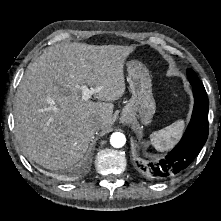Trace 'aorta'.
Listing matches in <instances>:
<instances>
[{
  "mask_svg": "<svg viewBox=\"0 0 221 221\" xmlns=\"http://www.w3.org/2000/svg\"><path fill=\"white\" fill-rule=\"evenodd\" d=\"M110 143L114 148H121L126 143V137L121 132H114L110 137Z\"/></svg>",
  "mask_w": 221,
  "mask_h": 221,
  "instance_id": "obj_1",
  "label": "aorta"
}]
</instances>
